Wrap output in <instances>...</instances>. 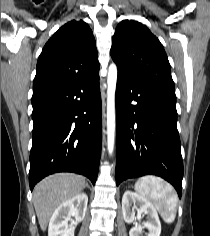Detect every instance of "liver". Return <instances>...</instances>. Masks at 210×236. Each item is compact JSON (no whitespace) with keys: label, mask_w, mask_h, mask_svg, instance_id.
Here are the masks:
<instances>
[{"label":"liver","mask_w":210,"mask_h":236,"mask_svg":"<svg viewBox=\"0 0 210 236\" xmlns=\"http://www.w3.org/2000/svg\"><path fill=\"white\" fill-rule=\"evenodd\" d=\"M85 185V178L80 175L58 173L46 177L35 186L33 203L42 231L46 230L55 209L81 193Z\"/></svg>","instance_id":"obj_1"}]
</instances>
